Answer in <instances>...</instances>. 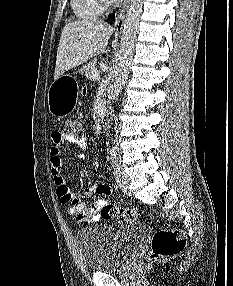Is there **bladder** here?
Instances as JSON below:
<instances>
[{
	"label": "bladder",
	"instance_id": "1",
	"mask_svg": "<svg viewBox=\"0 0 233 286\" xmlns=\"http://www.w3.org/2000/svg\"><path fill=\"white\" fill-rule=\"evenodd\" d=\"M146 235L141 224L110 227L91 225L79 229L76 240L87 268L92 272H112L125 268Z\"/></svg>",
	"mask_w": 233,
	"mask_h": 286
}]
</instances>
